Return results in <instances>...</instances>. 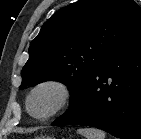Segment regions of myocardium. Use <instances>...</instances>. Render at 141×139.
<instances>
[{"label":"myocardium","instance_id":"obj_1","mask_svg":"<svg viewBox=\"0 0 141 139\" xmlns=\"http://www.w3.org/2000/svg\"><path fill=\"white\" fill-rule=\"evenodd\" d=\"M43 88L55 89L59 95V99L55 107L49 113L39 116L32 112L31 100L34 94ZM72 97H73V91L70 85L67 84L65 81L57 78L43 79L37 82L36 84H34L29 90L25 100L26 110L32 118L38 121H47L57 116L60 112L66 109L71 103Z\"/></svg>","mask_w":141,"mask_h":139}]
</instances>
